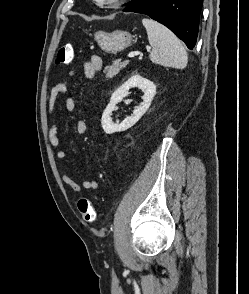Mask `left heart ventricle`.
Returning a JSON list of instances; mask_svg holds the SVG:
<instances>
[{
	"mask_svg": "<svg viewBox=\"0 0 249 294\" xmlns=\"http://www.w3.org/2000/svg\"><path fill=\"white\" fill-rule=\"evenodd\" d=\"M98 1H100V2H108L110 0H98Z\"/></svg>",
	"mask_w": 249,
	"mask_h": 294,
	"instance_id": "obj_1",
	"label": "left heart ventricle"
}]
</instances>
